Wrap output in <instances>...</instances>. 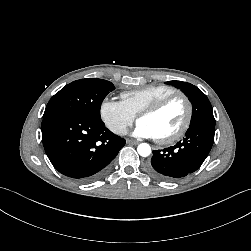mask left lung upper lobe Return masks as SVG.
<instances>
[{"mask_svg": "<svg viewBox=\"0 0 251 251\" xmlns=\"http://www.w3.org/2000/svg\"><path fill=\"white\" fill-rule=\"evenodd\" d=\"M172 82L183 89L191 100L192 117L190 125L203 121L215 123L212 106L207 96L199 88L183 81L173 80Z\"/></svg>", "mask_w": 251, "mask_h": 251, "instance_id": "obj_1", "label": "left lung upper lobe"}]
</instances>
